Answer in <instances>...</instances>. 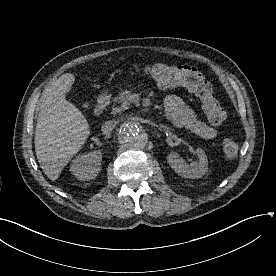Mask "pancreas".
<instances>
[{"label":"pancreas","instance_id":"obj_1","mask_svg":"<svg viewBox=\"0 0 276 276\" xmlns=\"http://www.w3.org/2000/svg\"><path fill=\"white\" fill-rule=\"evenodd\" d=\"M131 95V91L121 90L118 97L114 99L116 103L120 104V107L113 108L112 113L116 114L128 109L131 103Z\"/></svg>","mask_w":276,"mask_h":276}]
</instances>
